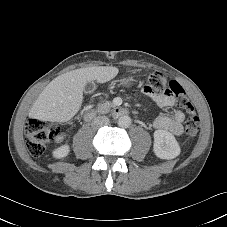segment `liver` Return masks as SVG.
Segmentation results:
<instances>
[{"label":"liver","mask_w":227,"mask_h":227,"mask_svg":"<svg viewBox=\"0 0 227 227\" xmlns=\"http://www.w3.org/2000/svg\"><path fill=\"white\" fill-rule=\"evenodd\" d=\"M116 67H88L62 74L52 80L33 104L30 116L50 122H67L79 111L87 82L105 83L113 79Z\"/></svg>","instance_id":"obj_1"}]
</instances>
